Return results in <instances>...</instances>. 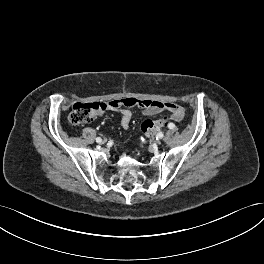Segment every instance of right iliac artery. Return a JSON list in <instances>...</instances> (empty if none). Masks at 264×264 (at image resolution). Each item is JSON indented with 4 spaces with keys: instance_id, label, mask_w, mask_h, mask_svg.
Returning <instances> with one entry per match:
<instances>
[{
    "instance_id": "right-iliac-artery-1",
    "label": "right iliac artery",
    "mask_w": 264,
    "mask_h": 264,
    "mask_svg": "<svg viewBox=\"0 0 264 264\" xmlns=\"http://www.w3.org/2000/svg\"><path fill=\"white\" fill-rule=\"evenodd\" d=\"M96 142H97V143H101V142H102V139H101L100 137H97V138H96Z\"/></svg>"
}]
</instances>
